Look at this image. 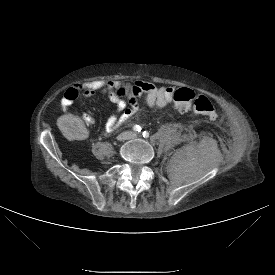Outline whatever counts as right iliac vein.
<instances>
[{
	"label": "right iliac vein",
	"instance_id": "obj_1",
	"mask_svg": "<svg viewBox=\"0 0 275 275\" xmlns=\"http://www.w3.org/2000/svg\"><path fill=\"white\" fill-rule=\"evenodd\" d=\"M131 138V133L130 132H124L118 135L117 139L119 141H126Z\"/></svg>",
	"mask_w": 275,
	"mask_h": 275
}]
</instances>
